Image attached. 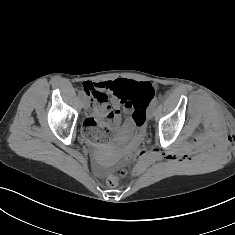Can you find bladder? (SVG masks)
<instances>
[{
  "label": "bladder",
  "instance_id": "obj_1",
  "mask_svg": "<svg viewBox=\"0 0 235 235\" xmlns=\"http://www.w3.org/2000/svg\"><path fill=\"white\" fill-rule=\"evenodd\" d=\"M129 132H130V128H129V127L124 128V129L122 130V133H123V134H128Z\"/></svg>",
  "mask_w": 235,
  "mask_h": 235
}]
</instances>
